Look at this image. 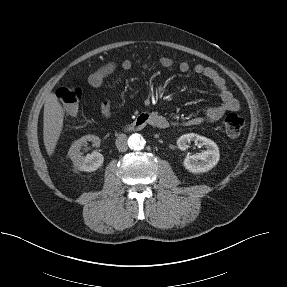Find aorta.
Segmentation results:
<instances>
[{
  "instance_id": "aorta-1",
  "label": "aorta",
  "mask_w": 287,
  "mask_h": 287,
  "mask_svg": "<svg viewBox=\"0 0 287 287\" xmlns=\"http://www.w3.org/2000/svg\"><path fill=\"white\" fill-rule=\"evenodd\" d=\"M145 143L146 142L144 138L138 133L132 134L128 139V146L130 149H133V150L143 149Z\"/></svg>"
}]
</instances>
